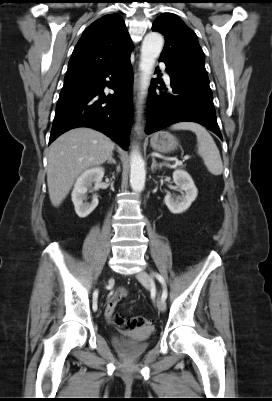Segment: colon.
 Listing matches in <instances>:
<instances>
[{
	"instance_id": "colon-1",
	"label": "colon",
	"mask_w": 272,
	"mask_h": 401,
	"mask_svg": "<svg viewBox=\"0 0 272 401\" xmlns=\"http://www.w3.org/2000/svg\"><path fill=\"white\" fill-rule=\"evenodd\" d=\"M114 323L119 327H127L129 329H136L139 327L147 326L149 321L146 317H133L126 319L121 314L114 316Z\"/></svg>"
}]
</instances>
